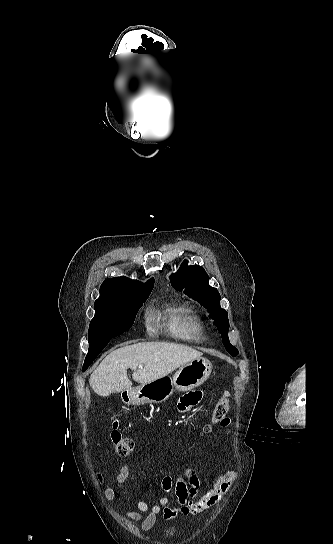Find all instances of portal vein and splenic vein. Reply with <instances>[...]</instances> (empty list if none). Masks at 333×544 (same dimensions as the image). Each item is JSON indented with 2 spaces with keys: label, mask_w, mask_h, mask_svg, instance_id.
Returning a JSON list of instances; mask_svg holds the SVG:
<instances>
[{
  "label": "portal vein and splenic vein",
  "mask_w": 333,
  "mask_h": 544,
  "mask_svg": "<svg viewBox=\"0 0 333 544\" xmlns=\"http://www.w3.org/2000/svg\"><path fill=\"white\" fill-rule=\"evenodd\" d=\"M139 368L142 369V368H143V365H139Z\"/></svg>",
  "instance_id": "18ae733b"
}]
</instances>
